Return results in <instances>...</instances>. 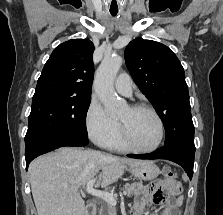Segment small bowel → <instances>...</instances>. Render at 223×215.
<instances>
[{
    "instance_id": "obj_1",
    "label": "small bowel",
    "mask_w": 223,
    "mask_h": 215,
    "mask_svg": "<svg viewBox=\"0 0 223 215\" xmlns=\"http://www.w3.org/2000/svg\"><path fill=\"white\" fill-rule=\"evenodd\" d=\"M181 191V184L176 180L166 178L153 181L136 197L132 214L143 215L146 205L154 203L164 205L161 215H178L177 209L182 202Z\"/></svg>"
}]
</instances>
